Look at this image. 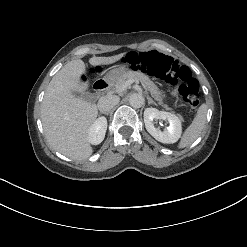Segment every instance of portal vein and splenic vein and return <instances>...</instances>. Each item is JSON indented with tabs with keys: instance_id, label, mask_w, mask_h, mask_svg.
Returning a JSON list of instances; mask_svg holds the SVG:
<instances>
[{
	"instance_id": "portal-vein-and-splenic-vein-1",
	"label": "portal vein and splenic vein",
	"mask_w": 247,
	"mask_h": 247,
	"mask_svg": "<svg viewBox=\"0 0 247 247\" xmlns=\"http://www.w3.org/2000/svg\"><path fill=\"white\" fill-rule=\"evenodd\" d=\"M134 81H135V80H133V79L127 80L121 87H119V88L116 90V92H117V93L123 92V91L126 90L127 87H128L129 85H131ZM143 87L146 88L145 85H143Z\"/></svg>"
}]
</instances>
